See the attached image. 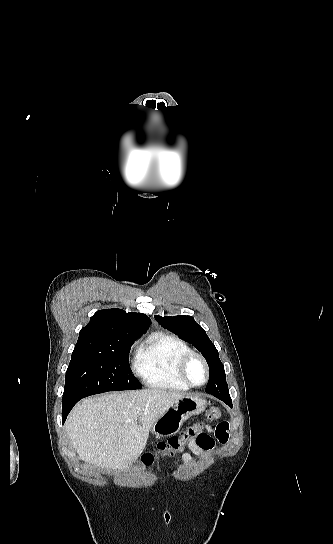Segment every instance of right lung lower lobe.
Instances as JSON below:
<instances>
[{
	"label": "right lung lower lobe",
	"instance_id": "1",
	"mask_svg": "<svg viewBox=\"0 0 333 544\" xmlns=\"http://www.w3.org/2000/svg\"><path fill=\"white\" fill-rule=\"evenodd\" d=\"M79 400H65V399H62V422L64 423L66 418H67V415L69 414V412L71 411V409L73 408V406L78 402Z\"/></svg>",
	"mask_w": 333,
	"mask_h": 544
}]
</instances>
